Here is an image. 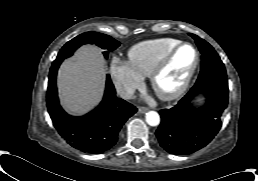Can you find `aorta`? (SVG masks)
<instances>
[{"label": "aorta", "instance_id": "762f6f07", "mask_svg": "<svg viewBox=\"0 0 258 181\" xmlns=\"http://www.w3.org/2000/svg\"><path fill=\"white\" fill-rule=\"evenodd\" d=\"M146 122L150 126H157L160 123V116L155 111H149L145 116Z\"/></svg>", "mask_w": 258, "mask_h": 181}]
</instances>
